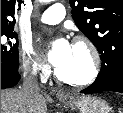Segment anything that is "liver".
I'll use <instances>...</instances> for the list:
<instances>
[{
  "label": "liver",
  "instance_id": "liver-1",
  "mask_svg": "<svg viewBox=\"0 0 123 113\" xmlns=\"http://www.w3.org/2000/svg\"><path fill=\"white\" fill-rule=\"evenodd\" d=\"M47 105L42 95L29 98L21 90H1V113H46Z\"/></svg>",
  "mask_w": 123,
  "mask_h": 113
}]
</instances>
